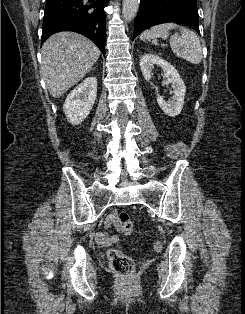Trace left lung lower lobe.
<instances>
[{
    "label": "left lung lower lobe",
    "instance_id": "0a47b994",
    "mask_svg": "<svg viewBox=\"0 0 245 314\" xmlns=\"http://www.w3.org/2000/svg\"><path fill=\"white\" fill-rule=\"evenodd\" d=\"M179 22L199 32L197 2L193 0H140L133 38L162 23Z\"/></svg>",
    "mask_w": 245,
    "mask_h": 314
}]
</instances>
